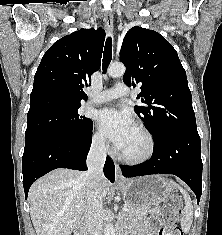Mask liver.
<instances>
[{
  "instance_id": "6515ba94",
  "label": "liver",
  "mask_w": 222,
  "mask_h": 235,
  "mask_svg": "<svg viewBox=\"0 0 222 235\" xmlns=\"http://www.w3.org/2000/svg\"><path fill=\"white\" fill-rule=\"evenodd\" d=\"M100 189L104 199L110 189V183L104 176ZM28 199L36 235H71L85 219V173L53 170L32 184Z\"/></svg>"
}]
</instances>
